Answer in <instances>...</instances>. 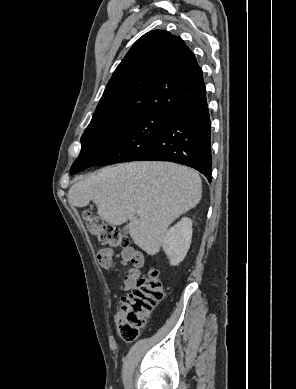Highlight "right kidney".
Listing matches in <instances>:
<instances>
[{
	"label": "right kidney",
	"instance_id": "ca27d5eb",
	"mask_svg": "<svg viewBox=\"0 0 296 389\" xmlns=\"http://www.w3.org/2000/svg\"><path fill=\"white\" fill-rule=\"evenodd\" d=\"M192 232V220L183 217L165 233L162 247L171 266L184 260L191 245Z\"/></svg>",
	"mask_w": 296,
	"mask_h": 389
}]
</instances>
